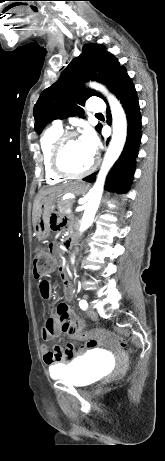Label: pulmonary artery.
<instances>
[{
  "mask_svg": "<svg viewBox=\"0 0 165 461\" xmlns=\"http://www.w3.org/2000/svg\"><path fill=\"white\" fill-rule=\"evenodd\" d=\"M87 108L89 111L93 113H101L105 110L104 103L99 97L89 98ZM61 123H62L61 120H56L54 122L55 126L60 127V128L62 127Z\"/></svg>",
  "mask_w": 165,
  "mask_h": 461,
  "instance_id": "e3ab8cb5",
  "label": "pulmonary artery"
}]
</instances>
